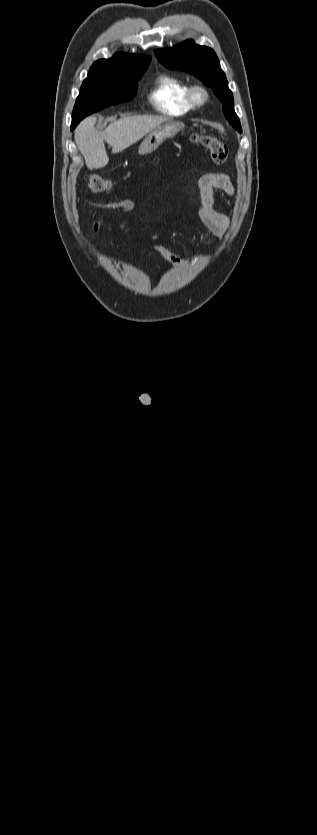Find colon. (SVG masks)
<instances>
[{
  "mask_svg": "<svg viewBox=\"0 0 317 835\" xmlns=\"http://www.w3.org/2000/svg\"><path fill=\"white\" fill-rule=\"evenodd\" d=\"M195 138L208 150L211 160L215 164L221 165L225 163L228 156V150L223 142L212 135L199 134ZM86 182L89 191L93 194L104 193L111 186V183L107 178L97 174L88 176Z\"/></svg>",
  "mask_w": 317,
  "mask_h": 835,
  "instance_id": "1",
  "label": "colon"
}]
</instances>
